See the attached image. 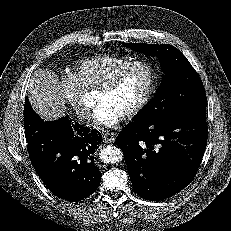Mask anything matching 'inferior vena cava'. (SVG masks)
Returning a JSON list of instances; mask_svg holds the SVG:
<instances>
[{
    "mask_svg": "<svg viewBox=\"0 0 231 231\" xmlns=\"http://www.w3.org/2000/svg\"><path fill=\"white\" fill-rule=\"evenodd\" d=\"M89 116H90V113L88 112V110L83 111L81 114V117L85 119L89 118Z\"/></svg>",
    "mask_w": 231,
    "mask_h": 231,
    "instance_id": "obj_1",
    "label": "inferior vena cava"
}]
</instances>
